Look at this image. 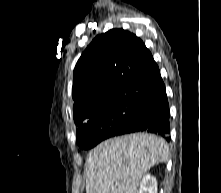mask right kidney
Instances as JSON below:
<instances>
[{
    "mask_svg": "<svg viewBox=\"0 0 221 193\" xmlns=\"http://www.w3.org/2000/svg\"><path fill=\"white\" fill-rule=\"evenodd\" d=\"M138 193H157L156 178L150 174H146L140 183V189Z\"/></svg>",
    "mask_w": 221,
    "mask_h": 193,
    "instance_id": "ca27d5eb",
    "label": "right kidney"
}]
</instances>
